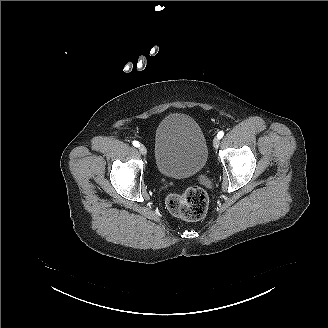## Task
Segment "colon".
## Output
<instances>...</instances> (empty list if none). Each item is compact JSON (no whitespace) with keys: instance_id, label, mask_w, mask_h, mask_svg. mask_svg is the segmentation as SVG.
I'll use <instances>...</instances> for the list:
<instances>
[{"instance_id":"5ec220e1","label":"colon","mask_w":328,"mask_h":328,"mask_svg":"<svg viewBox=\"0 0 328 328\" xmlns=\"http://www.w3.org/2000/svg\"><path fill=\"white\" fill-rule=\"evenodd\" d=\"M166 205L174 216L194 221L205 215L208 209V196L201 187L189 186L179 193L169 194Z\"/></svg>"}]
</instances>
